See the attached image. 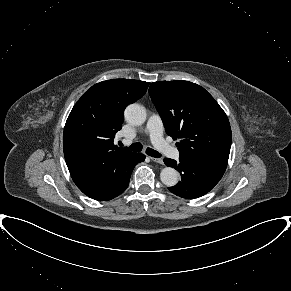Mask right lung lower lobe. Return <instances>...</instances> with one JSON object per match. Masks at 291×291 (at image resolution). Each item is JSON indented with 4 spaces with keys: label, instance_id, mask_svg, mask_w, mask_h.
Wrapping results in <instances>:
<instances>
[{
    "label": "right lung lower lobe",
    "instance_id": "98d812e1",
    "mask_svg": "<svg viewBox=\"0 0 291 291\" xmlns=\"http://www.w3.org/2000/svg\"><path fill=\"white\" fill-rule=\"evenodd\" d=\"M144 159H145V156L143 154L136 153L132 157V159L129 161L126 170L123 172L122 176L120 177V180L117 182L115 187L111 189L110 191L106 192L105 194L101 195L100 197L95 198V200L107 201L120 195L125 189H127L134 167L139 162H143Z\"/></svg>",
    "mask_w": 291,
    "mask_h": 291
}]
</instances>
